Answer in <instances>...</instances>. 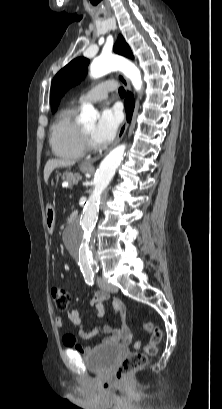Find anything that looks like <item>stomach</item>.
Masks as SVG:
<instances>
[{
    "label": "stomach",
    "instance_id": "obj_1",
    "mask_svg": "<svg viewBox=\"0 0 222 409\" xmlns=\"http://www.w3.org/2000/svg\"><path fill=\"white\" fill-rule=\"evenodd\" d=\"M82 172H90V167L80 166ZM55 225V209L52 205H48L46 208V227L49 232L53 231Z\"/></svg>",
    "mask_w": 222,
    "mask_h": 409
}]
</instances>
